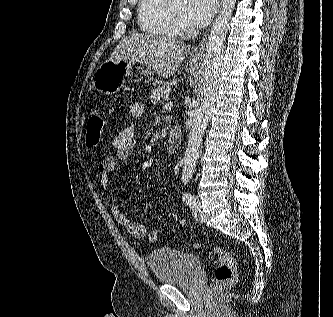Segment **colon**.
Wrapping results in <instances>:
<instances>
[{"instance_id": "obj_1", "label": "colon", "mask_w": 333, "mask_h": 317, "mask_svg": "<svg viewBox=\"0 0 333 317\" xmlns=\"http://www.w3.org/2000/svg\"><path fill=\"white\" fill-rule=\"evenodd\" d=\"M104 128V118L99 109L93 108L90 110L85 128L86 145L90 149L97 148L102 140ZM158 232L152 229L149 233V240L156 242ZM190 246L197 250L208 249L218 258V266L215 270V283L213 289L221 291L233 286L236 280L235 263L228 251L217 245H206L201 243H191Z\"/></svg>"}]
</instances>
